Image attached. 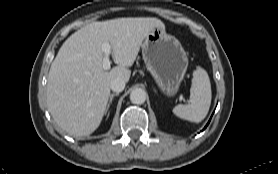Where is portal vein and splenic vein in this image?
Here are the masks:
<instances>
[{
	"label": "portal vein and splenic vein",
	"mask_w": 278,
	"mask_h": 174,
	"mask_svg": "<svg viewBox=\"0 0 278 174\" xmlns=\"http://www.w3.org/2000/svg\"><path fill=\"white\" fill-rule=\"evenodd\" d=\"M102 50L104 52V58H103V61H102V66H103V69L104 70H108L110 69V64H111V61H110V54H111V46L109 43H103L102 44ZM181 100H183V97L180 98Z\"/></svg>",
	"instance_id": "1"
}]
</instances>
